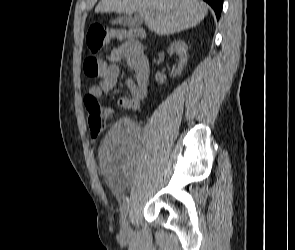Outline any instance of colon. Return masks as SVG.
<instances>
[{"instance_id":"5ec220e1","label":"colon","mask_w":295,"mask_h":250,"mask_svg":"<svg viewBox=\"0 0 295 250\" xmlns=\"http://www.w3.org/2000/svg\"><path fill=\"white\" fill-rule=\"evenodd\" d=\"M141 36L140 32L124 33L118 30H109L101 25H92L87 33V45L93 53H97L112 40L134 41L132 37ZM84 73L89 78H97L103 70V62L96 56H88L83 63ZM84 105L88 113V127L90 135L96 138L102 134L106 127L109 112L102 107L97 99L87 95Z\"/></svg>"}]
</instances>
